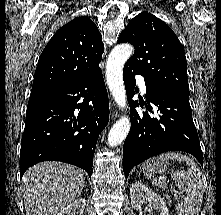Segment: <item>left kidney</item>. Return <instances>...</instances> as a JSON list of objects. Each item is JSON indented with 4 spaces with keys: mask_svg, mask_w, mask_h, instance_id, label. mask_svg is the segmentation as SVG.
<instances>
[{
    "mask_svg": "<svg viewBox=\"0 0 221 215\" xmlns=\"http://www.w3.org/2000/svg\"><path fill=\"white\" fill-rule=\"evenodd\" d=\"M130 198L132 207L136 210H139L141 204L148 201L149 206L159 212V215H169V210L161 196L140 182H135L131 185Z\"/></svg>",
    "mask_w": 221,
    "mask_h": 215,
    "instance_id": "1",
    "label": "left kidney"
}]
</instances>
